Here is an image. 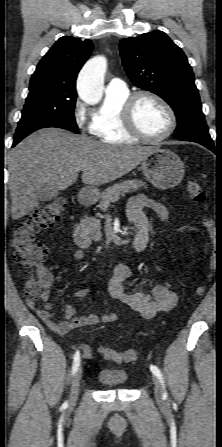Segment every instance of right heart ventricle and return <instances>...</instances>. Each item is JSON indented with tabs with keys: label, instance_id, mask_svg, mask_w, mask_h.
Wrapping results in <instances>:
<instances>
[{
	"label": "right heart ventricle",
	"instance_id": "1",
	"mask_svg": "<svg viewBox=\"0 0 222 447\" xmlns=\"http://www.w3.org/2000/svg\"><path fill=\"white\" fill-rule=\"evenodd\" d=\"M128 95V90L120 93L106 92L104 103L92 115L89 126L90 133L98 140L112 145L133 144L139 141L127 133L121 124V106Z\"/></svg>",
	"mask_w": 222,
	"mask_h": 447
}]
</instances>
